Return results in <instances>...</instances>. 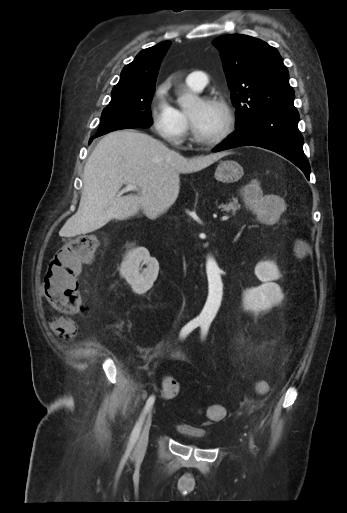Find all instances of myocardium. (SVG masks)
I'll return each instance as SVG.
<instances>
[{"instance_id": "1", "label": "myocardium", "mask_w": 347, "mask_h": 513, "mask_svg": "<svg viewBox=\"0 0 347 513\" xmlns=\"http://www.w3.org/2000/svg\"><path fill=\"white\" fill-rule=\"evenodd\" d=\"M201 101H203L205 103H212V104L218 105L219 107L222 108V110L224 111V114H225V126H224L223 130L221 131L220 134H218L217 136H215L214 138H211V139H205V138H202L201 136H199V134L197 133V131L194 127V124H193L191 118L189 117V123H190V127H191L193 140L196 143H198L199 145L206 146V147H212V146H215V145H218L219 143H221L233 132L234 127H235V117H234V114L232 112L230 105L225 100H223L221 98L203 97L201 99Z\"/></svg>"}]
</instances>
